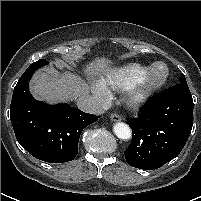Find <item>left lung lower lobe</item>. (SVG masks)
Segmentation results:
<instances>
[{
  "label": "left lung lower lobe",
  "instance_id": "0a47b994",
  "mask_svg": "<svg viewBox=\"0 0 201 201\" xmlns=\"http://www.w3.org/2000/svg\"><path fill=\"white\" fill-rule=\"evenodd\" d=\"M193 108L188 85L176 84L153 97L138 118L127 120L133 133L127 163L154 170L177 157L192 130Z\"/></svg>",
  "mask_w": 201,
  "mask_h": 201
}]
</instances>
